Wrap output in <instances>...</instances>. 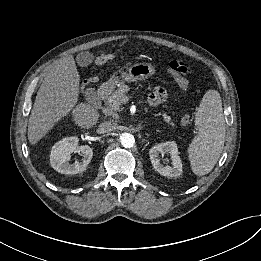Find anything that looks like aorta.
<instances>
[{
	"label": "aorta",
	"instance_id": "aorta-1",
	"mask_svg": "<svg viewBox=\"0 0 261 261\" xmlns=\"http://www.w3.org/2000/svg\"><path fill=\"white\" fill-rule=\"evenodd\" d=\"M120 142L124 148H131L135 143V138L130 133H122L120 136Z\"/></svg>",
	"mask_w": 261,
	"mask_h": 261
}]
</instances>
